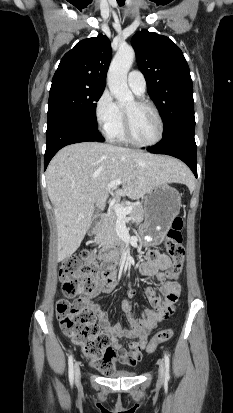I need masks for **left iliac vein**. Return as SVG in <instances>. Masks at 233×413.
<instances>
[{
  "instance_id": "4c4485c4",
  "label": "left iliac vein",
  "mask_w": 233,
  "mask_h": 413,
  "mask_svg": "<svg viewBox=\"0 0 233 413\" xmlns=\"http://www.w3.org/2000/svg\"><path fill=\"white\" fill-rule=\"evenodd\" d=\"M158 373H159V375H158L159 382L162 383L164 381V378H165V366H164L163 360L159 361Z\"/></svg>"
}]
</instances>
